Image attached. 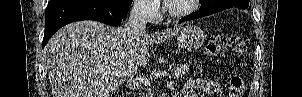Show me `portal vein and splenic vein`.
Returning <instances> with one entry per match:
<instances>
[{"mask_svg": "<svg viewBox=\"0 0 302 97\" xmlns=\"http://www.w3.org/2000/svg\"><path fill=\"white\" fill-rule=\"evenodd\" d=\"M109 72H111V68L110 67H108V68H106L105 70H104V73H109ZM137 80L139 81V82H141V83H143L144 85H146V86H150V82H149V80L148 79H146V78H144V77H137Z\"/></svg>", "mask_w": 302, "mask_h": 97, "instance_id": "1", "label": "portal vein and splenic vein"}]
</instances>
